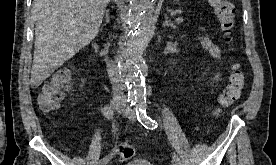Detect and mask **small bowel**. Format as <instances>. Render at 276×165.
Returning a JSON list of instances; mask_svg holds the SVG:
<instances>
[{"mask_svg": "<svg viewBox=\"0 0 276 165\" xmlns=\"http://www.w3.org/2000/svg\"><path fill=\"white\" fill-rule=\"evenodd\" d=\"M200 43L202 45V47L205 49V51L211 56L213 57L215 60L217 61H221V51L219 49V47L217 45H215L214 43H212L208 38L203 37L200 39ZM219 75H215L212 80L216 81L218 80Z\"/></svg>", "mask_w": 276, "mask_h": 165, "instance_id": "c3829d8e", "label": "small bowel"}]
</instances>
